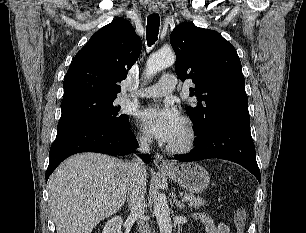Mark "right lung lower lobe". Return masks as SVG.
<instances>
[{"instance_id":"98d812e1","label":"right lung lower lobe","mask_w":306,"mask_h":233,"mask_svg":"<svg viewBox=\"0 0 306 233\" xmlns=\"http://www.w3.org/2000/svg\"><path fill=\"white\" fill-rule=\"evenodd\" d=\"M137 140L130 130V124L121 130L108 127L92 126L57 137L49 152V166L46 181L56 167L67 157L81 152H98L110 155H123L135 149ZM149 163L151 158H142Z\"/></svg>"}]
</instances>
